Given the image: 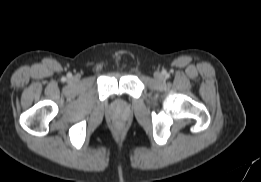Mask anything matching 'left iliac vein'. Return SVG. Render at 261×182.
<instances>
[{
  "label": "left iliac vein",
  "instance_id": "left-iliac-vein-1",
  "mask_svg": "<svg viewBox=\"0 0 261 182\" xmlns=\"http://www.w3.org/2000/svg\"><path fill=\"white\" fill-rule=\"evenodd\" d=\"M155 79L156 80H162L163 79V76H162V74L161 73H159V72H157V73H155Z\"/></svg>",
  "mask_w": 261,
  "mask_h": 182
}]
</instances>
